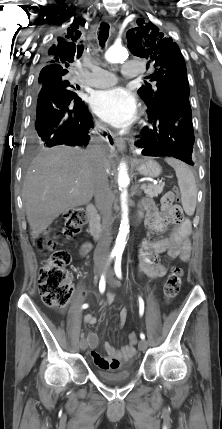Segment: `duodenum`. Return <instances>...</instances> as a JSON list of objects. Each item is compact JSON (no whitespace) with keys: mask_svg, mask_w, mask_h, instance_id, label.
I'll use <instances>...</instances> for the list:
<instances>
[{"mask_svg":"<svg viewBox=\"0 0 222 429\" xmlns=\"http://www.w3.org/2000/svg\"><path fill=\"white\" fill-rule=\"evenodd\" d=\"M87 221L89 226V233L95 240H98L102 234V228L99 220V216L96 207L93 204H89L86 207Z\"/></svg>","mask_w":222,"mask_h":429,"instance_id":"obj_1","label":"duodenum"}]
</instances>
